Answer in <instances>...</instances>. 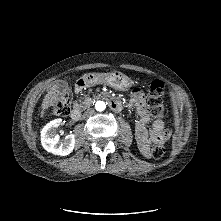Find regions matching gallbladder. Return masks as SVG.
Returning <instances> with one entry per match:
<instances>
[{"mask_svg": "<svg viewBox=\"0 0 221 221\" xmlns=\"http://www.w3.org/2000/svg\"><path fill=\"white\" fill-rule=\"evenodd\" d=\"M58 88L62 93H67L69 90V85L66 81H59L58 83Z\"/></svg>", "mask_w": 221, "mask_h": 221, "instance_id": "1", "label": "gallbladder"}]
</instances>
